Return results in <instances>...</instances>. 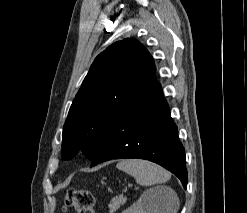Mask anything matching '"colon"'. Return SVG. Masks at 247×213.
Listing matches in <instances>:
<instances>
[{"label":"colon","instance_id":"colon-1","mask_svg":"<svg viewBox=\"0 0 247 213\" xmlns=\"http://www.w3.org/2000/svg\"><path fill=\"white\" fill-rule=\"evenodd\" d=\"M94 205V196L90 191L74 188L67 191L64 200V209L71 207L77 213H95Z\"/></svg>","mask_w":247,"mask_h":213}]
</instances>
